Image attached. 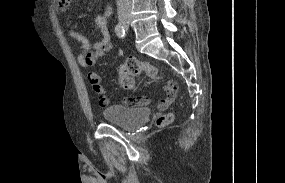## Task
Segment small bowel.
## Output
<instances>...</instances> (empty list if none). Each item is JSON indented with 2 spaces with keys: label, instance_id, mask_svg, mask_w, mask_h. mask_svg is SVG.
<instances>
[{
  "label": "small bowel",
  "instance_id": "small-bowel-1",
  "mask_svg": "<svg viewBox=\"0 0 285 183\" xmlns=\"http://www.w3.org/2000/svg\"><path fill=\"white\" fill-rule=\"evenodd\" d=\"M71 0H64L60 6L62 12H66L70 5ZM111 15V7L107 6L103 17L96 20L94 29L92 33L101 30L103 38L95 43L89 41L88 37L81 32L73 29H69L67 34L72 39L76 40L81 44L82 50L78 56V61L80 65L84 68H92L97 61L103 57L107 52L113 48V43L110 38V33L105 25V20ZM90 85L93 91L98 95V102L100 106H107L109 104V99L107 96V90L103 85L104 75L91 71L87 75ZM178 89L177 82L170 80L164 86L165 96L160 100V107L167 108L172 104L175 99ZM141 99V98H139ZM131 99H125L126 104H131Z\"/></svg>",
  "mask_w": 285,
  "mask_h": 183
}]
</instances>
